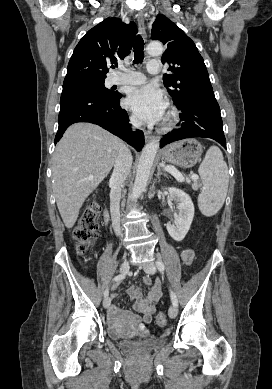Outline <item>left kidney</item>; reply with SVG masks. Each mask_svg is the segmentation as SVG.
I'll return each mask as SVG.
<instances>
[{"instance_id": "obj_1", "label": "left kidney", "mask_w": 272, "mask_h": 389, "mask_svg": "<svg viewBox=\"0 0 272 389\" xmlns=\"http://www.w3.org/2000/svg\"><path fill=\"white\" fill-rule=\"evenodd\" d=\"M170 199L176 201L178 213H174V224L168 222L166 225L169 235L176 241L184 239L188 233L194 217V204L190 196L183 190L169 187ZM169 206L172 208V204Z\"/></svg>"}]
</instances>
